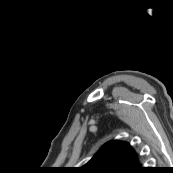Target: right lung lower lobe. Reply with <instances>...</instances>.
Wrapping results in <instances>:
<instances>
[{
    "label": "right lung lower lobe",
    "mask_w": 173,
    "mask_h": 173,
    "mask_svg": "<svg viewBox=\"0 0 173 173\" xmlns=\"http://www.w3.org/2000/svg\"><path fill=\"white\" fill-rule=\"evenodd\" d=\"M127 173H148V170L144 167H141L139 164H137Z\"/></svg>",
    "instance_id": "obj_1"
}]
</instances>
